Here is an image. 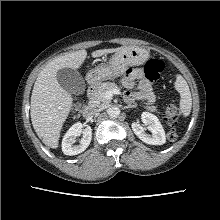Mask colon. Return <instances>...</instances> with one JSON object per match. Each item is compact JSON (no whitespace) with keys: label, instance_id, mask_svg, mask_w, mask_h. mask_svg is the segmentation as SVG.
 <instances>
[{"label":"colon","instance_id":"colon-1","mask_svg":"<svg viewBox=\"0 0 220 220\" xmlns=\"http://www.w3.org/2000/svg\"><path fill=\"white\" fill-rule=\"evenodd\" d=\"M163 70V65L161 61L156 59H150L146 62L144 66V74L148 81L154 82L157 81L160 77V74ZM86 104V100L82 96H77L74 99L73 111L75 114H80L83 112ZM180 111L178 107L174 104H171L167 107L165 112L166 122L169 126H174L179 119ZM167 139L169 142H174L177 139V133L174 128H171L167 133Z\"/></svg>","mask_w":220,"mask_h":220}]
</instances>
